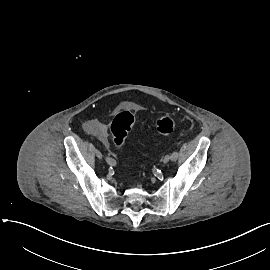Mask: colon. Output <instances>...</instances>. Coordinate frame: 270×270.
<instances>
[{"label": "colon", "instance_id": "5ec220e1", "mask_svg": "<svg viewBox=\"0 0 270 270\" xmlns=\"http://www.w3.org/2000/svg\"><path fill=\"white\" fill-rule=\"evenodd\" d=\"M134 124V117L128 111H122L112 120L110 130L112 143L115 148L125 146L126 138ZM156 128L162 134H171L176 129V120L170 113L162 114L156 121Z\"/></svg>", "mask_w": 270, "mask_h": 270}]
</instances>
